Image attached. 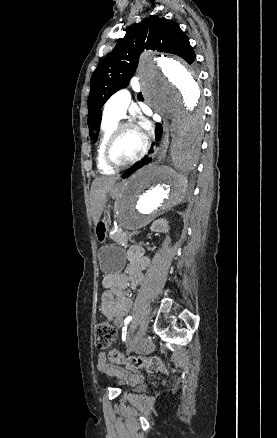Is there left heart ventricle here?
Instances as JSON below:
<instances>
[{"label": "left heart ventricle", "mask_w": 277, "mask_h": 438, "mask_svg": "<svg viewBox=\"0 0 277 438\" xmlns=\"http://www.w3.org/2000/svg\"><path fill=\"white\" fill-rule=\"evenodd\" d=\"M142 143V137L136 130L131 128L124 130L113 147V159L118 162H125L134 158L140 152Z\"/></svg>", "instance_id": "obj_1"}]
</instances>
